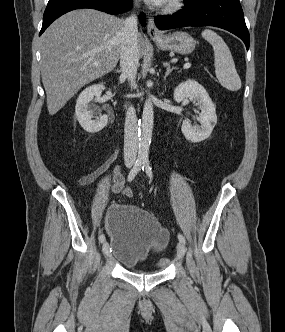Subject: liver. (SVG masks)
Returning <instances> with one entry per match:
<instances>
[{"instance_id":"liver-1","label":"liver","mask_w":285,"mask_h":332,"mask_svg":"<svg viewBox=\"0 0 285 332\" xmlns=\"http://www.w3.org/2000/svg\"><path fill=\"white\" fill-rule=\"evenodd\" d=\"M123 27V19L80 9L61 16L43 33L41 76L50 115L56 114L83 86L116 67ZM137 41L141 58L146 40L138 33Z\"/></svg>"}]
</instances>
